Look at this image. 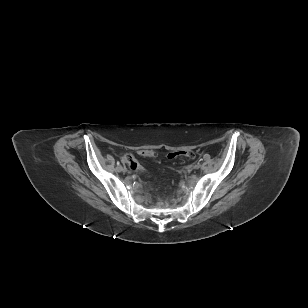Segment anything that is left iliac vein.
Wrapping results in <instances>:
<instances>
[{
	"label": "left iliac vein",
	"instance_id": "obj_1",
	"mask_svg": "<svg viewBox=\"0 0 308 308\" xmlns=\"http://www.w3.org/2000/svg\"><path fill=\"white\" fill-rule=\"evenodd\" d=\"M193 168H194V169H199V168H200V164H199V163L195 164V165L193 166Z\"/></svg>",
	"mask_w": 308,
	"mask_h": 308
}]
</instances>
